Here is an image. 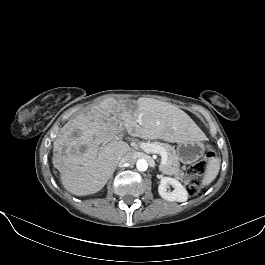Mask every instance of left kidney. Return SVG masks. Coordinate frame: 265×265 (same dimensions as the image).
Instances as JSON below:
<instances>
[{
  "mask_svg": "<svg viewBox=\"0 0 265 265\" xmlns=\"http://www.w3.org/2000/svg\"><path fill=\"white\" fill-rule=\"evenodd\" d=\"M168 185H171L174 190L168 191ZM159 195L167 201L185 202L188 199L186 188L175 178L163 177L158 186Z\"/></svg>",
  "mask_w": 265,
  "mask_h": 265,
  "instance_id": "5707ae66",
  "label": "left kidney"
}]
</instances>
